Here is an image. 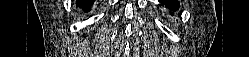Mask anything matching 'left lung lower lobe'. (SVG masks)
Returning <instances> with one entry per match:
<instances>
[{
	"label": "left lung lower lobe",
	"mask_w": 249,
	"mask_h": 57,
	"mask_svg": "<svg viewBox=\"0 0 249 57\" xmlns=\"http://www.w3.org/2000/svg\"><path fill=\"white\" fill-rule=\"evenodd\" d=\"M161 3L167 7L178 9V3H174L172 0H161Z\"/></svg>",
	"instance_id": "obj_1"
}]
</instances>
